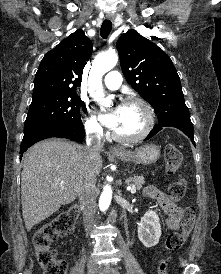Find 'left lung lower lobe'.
<instances>
[{
  "label": "left lung lower lobe",
  "instance_id": "1",
  "mask_svg": "<svg viewBox=\"0 0 221 274\" xmlns=\"http://www.w3.org/2000/svg\"><path fill=\"white\" fill-rule=\"evenodd\" d=\"M163 127H175L184 132L195 145L193 124L190 120L189 110L186 105L182 104L177 107L170 108L167 112L158 116V124L153 127V130L145 138L150 139L156 133L163 129Z\"/></svg>",
  "mask_w": 221,
  "mask_h": 274
}]
</instances>
